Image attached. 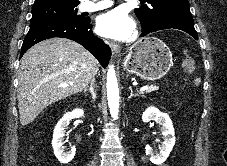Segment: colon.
<instances>
[{
    "mask_svg": "<svg viewBox=\"0 0 227 166\" xmlns=\"http://www.w3.org/2000/svg\"><path fill=\"white\" fill-rule=\"evenodd\" d=\"M181 64L187 72H192L194 70V62L192 58L187 54L182 57Z\"/></svg>",
    "mask_w": 227,
    "mask_h": 166,
    "instance_id": "1",
    "label": "colon"
}]
</instances>
